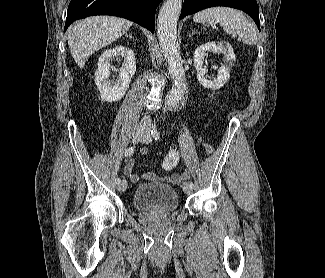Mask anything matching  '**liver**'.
I'll return each instance as SVG.
<instances>
[{
	"label": "liver",
	"mask_w": 325,
	"mask_h": 278,
	"mask_svg": "<svg viewBox=\"0 0 325 278\" xmlns=\"http://www.w3.org/2000/svg\"><path fill=\"white\" fill-rule=\"evenodd\" d=\"M132 22L113 16L88 17L68 31V45L76 64L83 68L95 51L125 34Z\"/></svg>",
	"instance_id": "6515ba94"
}]
</instances>
